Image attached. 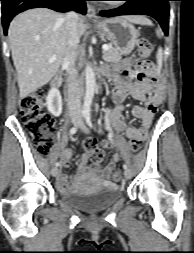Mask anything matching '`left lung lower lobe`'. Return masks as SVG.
I'll list each match as a JSON object with an SVG mask.
<instances>
[{
	"instance_id": "left-lung-lower-lobe-1",
	"label": "left lung lower lobe",
	"mask_w": 194,
	"mask_h": 253,
	"mask_svg": "<svg viewBox=\"0 0 194 253\" xmlns=\"http://www.w3.org/2000/svg\"><path fill=\"white\" fill-rule=\"evenodd\" d=\"M126 3L112 10L100 11L103 17L142 14L154 17L161 25L165 34L169 28V1L171 0H123Z\"/></svg>"
}]
</instances>
